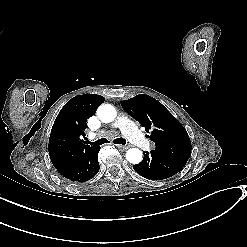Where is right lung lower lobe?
<instances>
[{"mask_svg":"<svg viewBox=\"0 0 247 247\" xmlns=\"http://www.w3.org/2000/svg\"><path fill=\"white\" fill-rule=\"evenodd\" d=\"M100 147H93L84 153L77 162L60 172L62 176L74 182H86L99 171L98 152Z\"/></svg>","mask_w":247,"mask_h":247,"instance_id":"98d812e1","label":"right lung lower lobe"}]
</instances>
